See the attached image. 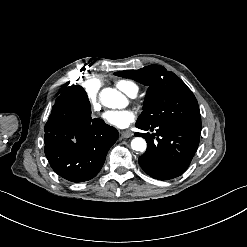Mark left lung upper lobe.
<instances>
[{
    "label": "left lung upper lobe",
    "instance_id": "obj_1",
    "mask_svg": "<svg viewBox=\"0 0 247 247\" xmlns=\"http://www.w3.org/2000/svg\"><path fill=\"white\" fill-rule=\"evenodd\" d=\"M148 86L143 112L136 122L140 127L177 124L201 131L198 102L192 91L173 72L160 65L114 73Z\"/></svg>",
    "mask_w": 247,
    "mask_h": 247
}]
</instances>
